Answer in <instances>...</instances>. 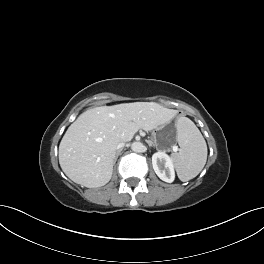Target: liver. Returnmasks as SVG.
Here are the masks:
<instances>
[{
    "label": "liver",
    "mask_w": 264,
    "mask_h": 264,
    "mask_svg": "<svg viewBox=\"0 0 264 264\" xmlns=\"http://www.w3.org/2000/svg\"><path fill=\"white\" fill-rule=\"evenodd\" d=\"M175 111L154 102L100 106L82 113L59 145V164L75 183L88 188L107 184L117 144L130 141L139 129L151 131L168 123Z\"/></svg>",
    "instance_id": "liver-1"
}]
</instances>
